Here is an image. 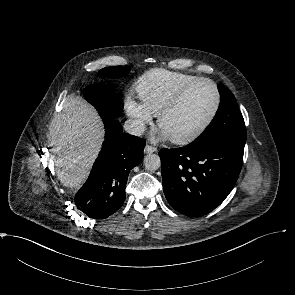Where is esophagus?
<instances>
[{"instance_id": "34e87169", "label": "esophagus", "mask_w": 295, "mask_h": 295, "mask_svg": "<svg viewBox=\"0 0 295 295\" xmlns=\"http://www.w3.org/2000/svg\"><path fill=\"white\" fill-rule=\"evenodd\" d=\"M157 152V148L147 144L144 148V153L148 154V153H154Z\"/></svg>"}]
</instances>
